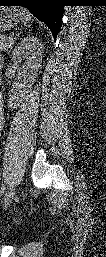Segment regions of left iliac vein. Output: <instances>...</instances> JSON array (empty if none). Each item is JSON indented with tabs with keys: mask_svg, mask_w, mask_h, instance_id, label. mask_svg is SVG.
Listing matches in <instances>:
<instances>
[{
	"mask_svg": "<svg viewBox=\"0 0 106 257\" xmlns=\"http://www.w3.org/2000/svg\"><path fill=\"white\" fill-rule=\"evenodd\" d=\"M15 191L13 188H10L4 198V207L7 208L8 205L11 203L13 197H14Z\"/></svg>",
	"mask_w": 106,
	"mask_h": 257,
	"instance_id": "4c4485c4",
	"label": "left iliac vein"
}]
</instances>
